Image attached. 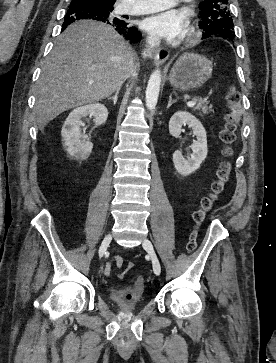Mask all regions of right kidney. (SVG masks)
I'll return each mask as SVG.
<instances>
[{
	"mask_svg": "<svg viewBox=\"0 0 276 363\" xmlns=\"http://www.w3.org/2000/svg\"><path fill=\"white\" fill-rule=\"evenodd\" d=\"M90 116L94 118L95 126L102 125L108 118L107 108L100 103L87 104L74 109L65 120L61 136L63 145L70 156L78 160H86L92 152L93 144L88 136L81 133L84 125L82 118Z\"/></svg>",
	"mask_w": 276,
	"mask_h": 363,
	"instance_id": "ca27d5eb",
	"label": "right kidney"
}]
</instances>
